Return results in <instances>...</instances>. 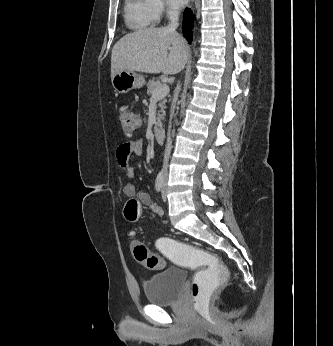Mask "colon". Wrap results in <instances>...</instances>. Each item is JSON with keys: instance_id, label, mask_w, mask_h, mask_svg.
Here are the masks:
<instances>
[{"instance_id": "5ec220e1", "label": "colon", "mask_w": 333, "mask_h": 346, "mask_svg": "<svg viewBox=\"0 0 333 346\" xmlns=\"http://www.w3.org/2000/svg\"><path fill=\"white\" fill-rule=\"evenodd\" d=\"M119 119L124 135L130 138L139 126L137 114L124 105L119 108ZM139 213L140 202L137 199L127 201L124 208L126 221L137 222ZM163 239L153 245V250L158 251V255L150 252L144 243L132 240L130 245L134 259L150 270L165 268V260H169L174 268L197 271L190 290L192 311L195 315H199L202 310H209L210 299L213 298V294H217V288H226L231 278L227 264H222V257L194 248L193 244H182L181 240H171L170 235H165ZM161 256H165V260Z\"/></svg>"}]
</instances>
